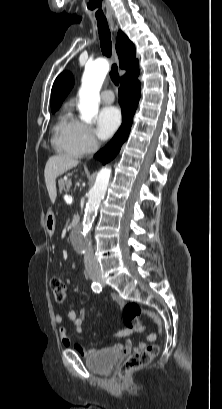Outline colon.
Returning a JSON list of instances; mask_svg holds the SVG:
<instances>
[{"mask_svg":"<svg viewBox=\"0 0 222 409\" xmlns=\"http://www.w3.org/2000/svg\"><path fill=\"white\" fill-rule=\"evenodd\" d=\"M50 288L55 300L58 303H63L67 295L65 283L60 278L54 277L50 280ZM142 314L151 317L158 325L160 324V319L155 313L142 309L137 303L130 302L123 308L122 318L125 326L135 331H143L144 326L138 321V317ZM157 353L158 346L156 344L144 345L123 362L119 370L120 377L126 376L131 370L147 365Z\"/></svg>","mask_w":222,"mask_h":409,"instance_id":"obj_1","label":"colon"}]
</instances>
